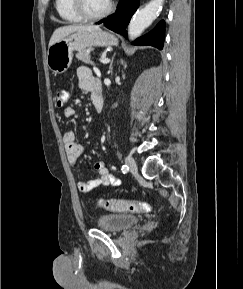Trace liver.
<instances>
[{"instance_id":"liver-1","label":"liver","mask_w":243,"mask_h":289,"mask_svg":"<svg viewBox=\"0 0 243 289\" xmlns=\"http://www.w3.org/2000/svg\"><path fill=\"white\" fill-rule=\"evenodd\" d=\"M93 31V30H100V27L97 25H67L57 28L54 33L51 36V39L49 41V47L53 45L54 43L60 41L70 33L76 32V31Z\"/></svg>"}]
</instances>
